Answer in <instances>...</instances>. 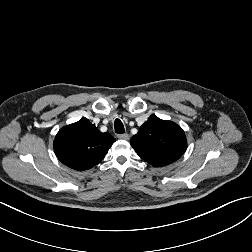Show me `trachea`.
Listing matches in <instances>:
<instances>
[{
	"mask_svg": "<svg viewBox=\"0 0 252 252\" xmlns=\"http://www.w3.org/2000/svg\"><path fill=\"white\" fill-rule=\"evenodd\" d=\"M115 132L118 134H123L125 132L124 125L120 119L114 121Z\"/></svg>",
	"mask_w": 252,
	"mask_h": 252,
	"instance_id": "3493384b",
	"label": "trachea"
}]
</instances>
